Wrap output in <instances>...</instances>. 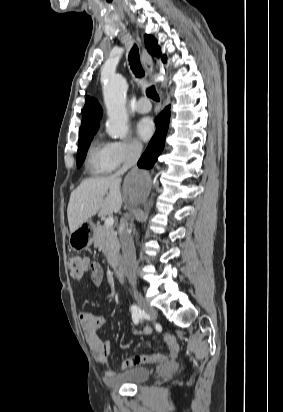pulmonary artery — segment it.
I'll return each mask as SVG.
<instances>
[{
	"label": "pulmonary artery",
	"mask_w": 283,
	"mask_h": 412,
	"mask_svg": "<svg viewBox=\"0 0 283 412\" xmlns=\"http://www.w3.org/2000/svg\"><path fill=\"white\" fill-rule=\"evenodd\" d=\"M150 110H151V105H150V103H149V101H148L147 98L142 97V98H140V99L138 100V102L136 103V111H137L138 113L144 114V113L149 112Z\"/></svg>",
	"instance_id": "obj_1"
}]
</instances>
